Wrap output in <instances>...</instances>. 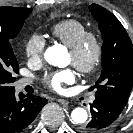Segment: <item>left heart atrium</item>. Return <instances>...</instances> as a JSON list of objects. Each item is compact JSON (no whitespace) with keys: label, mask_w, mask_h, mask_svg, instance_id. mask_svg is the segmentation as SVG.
<instances>
[{"label":"left heart atrium","mask_w":133,"mask_h":133,"mask_svg":"<svg viewBox=\"0 0 133 133\" xmlns=\"http://www.w3.org/2000/svg\"><path fill=\"white\" fill-rule=\"evenodd\" d=\"M75 81L74 71L70 68L57 70L44 78L45 84L54 91L61 92L65 85Z\"/></svg>","instance_id":"39dd6f15"}]
</instances>
